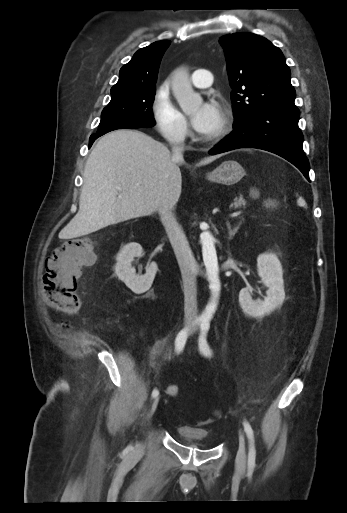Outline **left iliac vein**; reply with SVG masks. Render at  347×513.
<instances>
[{
    "label": "left iliac vein",
    "instance_id": "4c4485c4",
    "mask_svg": "<svg viewBox=\"0 0 347 513\" xmlns=\"http://www.w3.org/2000/svg\"><path fill=\"white\" fill-rule=\"evenodd\" d=\"M197 327H193L192 332H195ZM236 470L238 472H243L246 467V448H245V438L244 434L239 432V448L236 455L235 460Z\"/></svg>",
    "mask_w": 347,
    "mask_h": 513
}]
</instances>
